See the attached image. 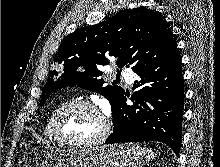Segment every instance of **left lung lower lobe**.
Listing matches in <instances>:
<instances>
[{"label":"left lung lower lobe","mask_w":220,"mask_h":167,"mask_svg":"<svg viewBox=\"0 0 220 167\" xmlns=\"http://www.w3.org/2000/svg\"><path fill=\"white\" fill-rule=\"evenodd\" d=\"M133 105L123 94L112 108L113 133L105 144L159 141L179 154L184 105L181 58L176 47L165 57L134 71Z\"/></svg>","instance_id":"left-lung-lower-lobe-1"}]
</instances>
